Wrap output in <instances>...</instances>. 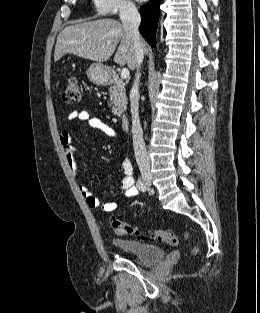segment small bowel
Here are the masks:
<instances>
[{
	"label": "small bowel",
	"mask_w": 260,
	"mask_h": 313,
	"mask_svg": "<svg viewBox=\"0 0 260 313\" xmlns=\"http://www.w3.org/2000/svg\"><path fill=\"white\" fill-rule=\"evenodd\" d=\"M68 118L71 121L79 120L87 122L92 128L103 132L105 135L115 137V131L110 125L98 117L93 116L86 110H73L69 113ZM71 138L70 131L64 130L61 132L59 140L68 167L74 176H78L79 168L75 158V150L71 144ZM121 169L123 174L120 184L121 192L128 197L135 196L137 194V189L134 186L133 167L127 158L122 159ZM77 187L88 207L93 209L101 208L104 212H112L116 209L117 202L109 201L101 203L99 198H97L85 184L78 183Z\"/></svg>",
	"instance_id": "c3829d8e"
}]
</instances>
